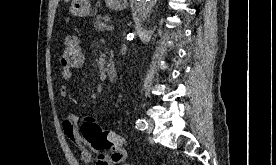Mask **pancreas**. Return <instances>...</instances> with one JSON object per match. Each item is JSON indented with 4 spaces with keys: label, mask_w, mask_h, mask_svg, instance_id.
Listing matches in <instances>:
<instances>
[{
    "label": "pancreas",
    "mask_w": 276,
    "mask_h": 165,
    "mask_svg": "<svg viewBox=\"0 0 276 165\" xmlns=\"http://www.w3.org/2000/svg\"><path fill=\"white\" fill-rule=\"evenodd\" d=\"M110 21L109 16H97L93 21V25L96 31H104L107 27L106 22Z\"/></svg>",
    "instance_id": "1"
}]
</instances>
